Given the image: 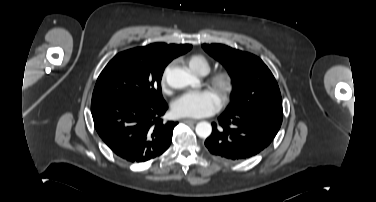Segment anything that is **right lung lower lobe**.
<instances>
[{"mask_svg": "<svg viewBox=\"0 0 376 202\" xmlns=\"http://www.w3.org/2000/svg\"><path fill=\"white\" fill-rule=\"evenodd\" d=\"M164 99L110 97L91 103L94 126L102 140L121 158L145 162L164 153L176 122H163Z\"/></svg>", "mask_w": 376, "mask_h": 202, "instance_id": "right-lung-lower-lobe-1", "label": "right lung lower lobe"}]
</instances>
